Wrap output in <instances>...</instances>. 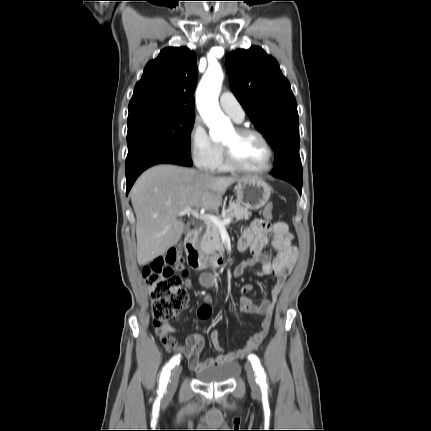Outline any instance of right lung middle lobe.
Returning <instances> with one entry per match:
<instances>
[{
	"label": "right lung middle lobe",
	"mask_w": 431,
	"mask_h": 431,
	"mask_svg": "<svg viewBox=\"0 0 431 431\" xmlns=\"http://www.w3.org/2000/svg\"><path fill=\"white\" fill-rule=\"evenodd\" d=\"M194 119L195 115L175 113H146L128 118V150L148 141H163L190 155Z\"/></svg>",
	"instance_id": "1"
}]
</instances>
